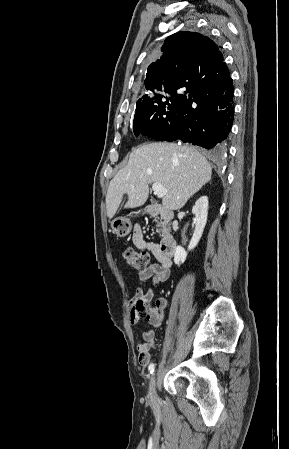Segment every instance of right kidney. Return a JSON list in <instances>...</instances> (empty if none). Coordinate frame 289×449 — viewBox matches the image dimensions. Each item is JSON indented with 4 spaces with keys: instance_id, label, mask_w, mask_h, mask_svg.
<instances>
[{
    "instance_id": "ca27d5eb",
    "label": "right kidney",
    "mask_w": 289,
    "mask_h": 449,
    "mask_svg": "<svg viewBox=\"0 0 289 449\" xmlns=\"http://www.w3.org/2000/svg\"><path fill=\"white\" fill-rule=\"evenodd\" d=\"M192 213L195 215V230L192 239L188 245V250H193L199 243L203 234L207 216H208V197H200L192 208ZM187 257V251L181 246H177L174 254V262L177 265L183 264Z\"/></svg>"
}]
</instances>
